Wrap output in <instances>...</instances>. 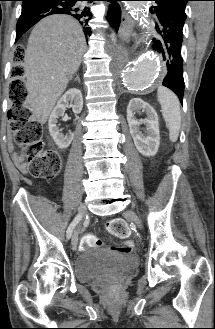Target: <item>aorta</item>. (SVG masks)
Wrapping results in <instances>:
<instances>
[{"mask_svg": "<svg viewBox=\"0 0 215 329\" xmlns=\"http://www.w3.org/2000/svg\"><path fill=\"white\" fill-rule=\"evenodd\" d=\"M126 6L138 17L144 14V3L140 1H129ZM122 77L126 86L133 91H144L158 79L160 75V64L151 55H144L131 63L123 59L120 64Z\"/></svg>", "mask_w": 215, "mask_h": 329, "instance_id": "762f6f07", "label": "aorta"}]
</instances>
